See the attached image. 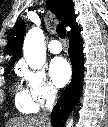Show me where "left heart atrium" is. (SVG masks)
<instances>
[{"instance_id":"obj_1","label":"left heart atrium","mask_w":108,"mask_h":127,"mask_svg":"<svg viewBox=\"0 0 108 127\" xmlns=\"http://www.w3.org/2000/svg\"><path fill=\"white\" fill-rule=\"evenodd\" d=\"M50 77L57 87L65 86L72 74L71 66L68 61L62 57H57L50 64Z\"/></svg>"}]
</instances>
